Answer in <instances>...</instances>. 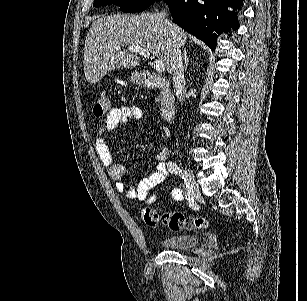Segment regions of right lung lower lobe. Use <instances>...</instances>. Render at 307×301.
<instances>
[{"instance_id":"98d812e1","label":"right lung lower lobe","mask_w":307,"mask_h":301,"mask_svg":"<svg viewBox=\"0 0 307 301\" xmlns=\"http://www.w3.org/2000/svg\"><path fill=\"white\" fill-rule=\"evenodd\" d=\"M165 1L169 3L173 22L211 48H215L218 34L239 28L236 13L228 7L240 8L243 0Z\"/></svg>"}]
</instances>
